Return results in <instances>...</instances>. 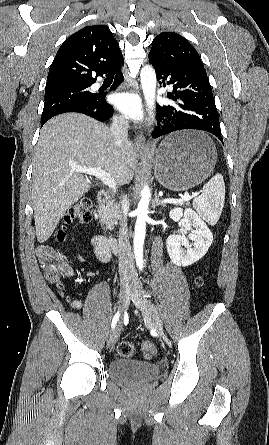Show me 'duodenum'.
<instances>
[{
	"label": "duodenum",
	"mask_w": 269,
	"mask_h": 445,
	"mask_svg": "<svg viewBox=\"0 0 269 445\" xmlns=\"http://www.w3.org/2000/svg\"><path fill=\"white\" fill-rule=\"evenodd\" d=\"M109 199V192L106 190H99L97 192V202L100 207H103ZM101 225L106 229L105 223L103 219L100 220ZM105 241L108 249L114 253H117L119 251V244L118 241L110 235L108 232L105 235Z\"/></svg>",
	"instance_id": "obj_1"
}]
</instances>
